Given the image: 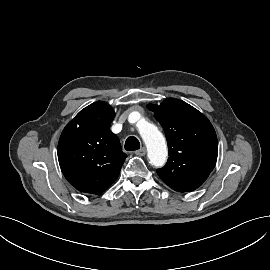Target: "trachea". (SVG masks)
<instances>
[{
    "label": "trachea",
    "mask_w": 270,
    "mask_h": 270,
    "mask_svg": "<svg viewBox=\"0 0 270 270\" xmlns=\"http://www.w3.org/2000/svg\"><path fill=\"white\" fill-rule=\"evenodd\" d=\"M125 149L127 151H135L140 149L139 140L134 136L128 137L127 140L125 141Z\"/></svg>",
    "instance_id": "trachea-1"
}]
</instances>
